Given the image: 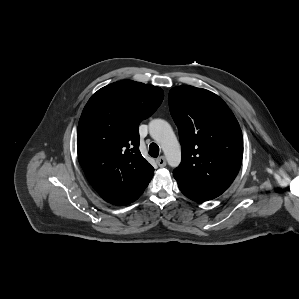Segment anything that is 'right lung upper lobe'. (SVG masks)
Instances as JSON below:
<instances>
[{"label":"right lung upper lobe","instance_id":"right-lung-upper-lobe-1","mask_svg":"<svg viewBox=\"0 0 299 299\" xmlns=\"http://www.w3.org/2000/svg\"><path fill=\"white\" fill-rule=\"evenodd\" d=\"M163 97L159 87L124 80L98 90L84 107L77 130L78 160L105 201L129 204L152 179L154 168L139 151L138 126Z\"/></svg>","mask_w":299,"mask_h":299}]
</instances>
